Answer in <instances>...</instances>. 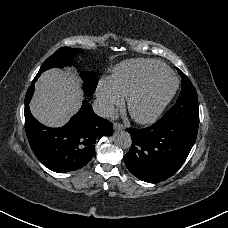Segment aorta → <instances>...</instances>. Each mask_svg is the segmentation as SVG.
<instances>
[{
    "label": "aorta",
    "mask_w": 228,
    "mask_h": 228,
    "mask_svg": "<svg viewBox=\"0 0 228 228\" xmlns=\"http://www.w3.org/2000/svg\"><path fill=\"white\" fill-rule=\"evenodd\" d=\"M113 139L115 144L122 149H128L132 144L131 136L126 131H117Z\"/></svg>",
    "instance_id": "obj_1"
}]
</instances>
